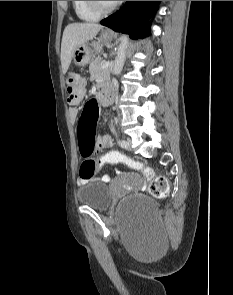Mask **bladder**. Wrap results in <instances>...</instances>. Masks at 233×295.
I'll list each match as a JSON object with an SVG mask.
<instances>
[{
  "instance_id": "1",
  "label": "bladder",
  "mask_w": 233,
  "mask_h": 295,
  "mask_svg": "<svg viewBox=\"0 0 233 295\" xmlns=\"http://www.w3.org/2000/svg\"><path fill=\"white\" fill-rule=\"evenodd\" d=\"M77 200L81 205L97 211H106L111 205L109 188L101 181H91L77 190ZM121 213H138L147 220L158 217L156 203L144 195H131L124 198L119 206Z\"/></svg>"
}]
</instances>
